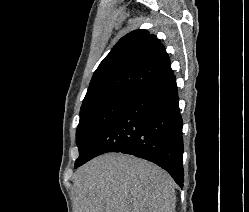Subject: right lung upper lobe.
<instances>
[{
  "instance_id": "cb5924a9",
  "label": "right lung upper lobe",
  "mask_w": 249,
  "mask_h": 212,
  "mask_svg": "<svg viewBox=\"0 0 249 212\" xmlns=\"http://www.w3.org/2000/svg\"><path fill=\"white\" fill-rule=\"evenodd\" d=\"M173 75L164 46L146 30L121 38L95 71L83 101L116 91L141 94Z\"/></svg>"
}]
</instances>
